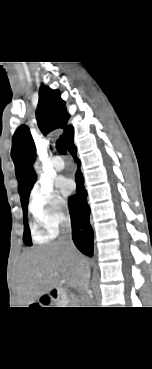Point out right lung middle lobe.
Segmentation results:
<instances>
[{
    "mask_svg": "<svg viewBox=\"0 0 152 369\" xmlns=\"http://www.w3.org/2000/svg\"><path fill=\"white\" fill-rule=\"evenodd\" d=\"M30 193V192H29ZM29 193L27 195V199L25 202L21 203L22 204V208H23V211H24V225H25V228H24V237H23V240H24V243L27 245V246H31L32 245V242H31V236H30V230L28 228V224H27V206H28V197H29Z\"/></svg>",
    "mask_w": 152,
    "mask_h": 369,
    "instance_id": "obj_1",
    "label": "right lung middle lobe"
}]
</instances>
